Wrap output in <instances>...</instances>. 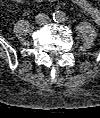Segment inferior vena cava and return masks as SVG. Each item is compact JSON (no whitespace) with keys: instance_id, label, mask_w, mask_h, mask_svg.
I'll list each match as a JSON object with an SVG mask.
<instances>
[{"instance_id":"1","label":"inferior vena cava","mask_w":100,"mask_h":118,"mask_svg":"<svg viewBox=\"0 0 100 118\" xmlns=\"http://www.w3.org/2000/svg\"><path fill=\"white\" fill-rule=\"evenodd\" d=\"M35 21L39 25H44V24H47L50 21V18L46 14L39 13V14L36 15Z\"/></svg>"}]
</instances>
